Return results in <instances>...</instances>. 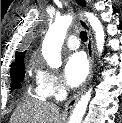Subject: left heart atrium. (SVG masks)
I'll return each mask as SVG.
<instances>
[{
  "mask_svg": "<svg viewBox=\"0 0 122 123\" xmlns=\"http://www.w3.org/2000/svg\"><path fill=\"white\" fill-rule=\"evenodd\" d=\"M89 65L84 53L76 52L68 56L64 67V79L70 87H77L88 75Z\"/></svg>",
  "mask_w": 122,
  "mask_h": 123,
  "instance_id": "obj_1",
  "label": "left heart atrium"
}]
</instances>
